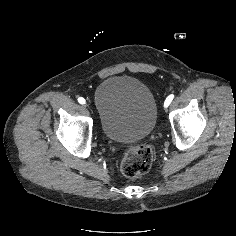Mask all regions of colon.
Listing matches in <instances>:
<instances>
[{
  "label": "colon",
  "mask_w": 236,
  "mask_h": 236,
  "mask_svg": "<svg viewBox=\"0 0 236 236\" xmlns=\"http://www.w3.org/2000/svg\"><path fill=\"white\" fill-rule=\"evenodd\" d=\"M153 160L154 154L150 146L146 144L131 146L122 159L121 172L127 178L136 179L149 171Z\"/></svg>",
  "instance_id": "1"
}]
</instances>
